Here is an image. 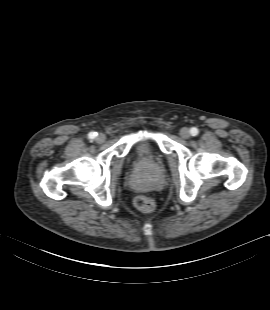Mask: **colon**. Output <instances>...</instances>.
I'll list each match as a JSON object with an SVG mask.
<instances>
[{"label": "colon", "instance_id": "5ec220e1", "mask_svg": "<svg viewBox=\"0 0 270 310\" xmlns=\"http://www.w3.org/2000/svg\"><path fill=\"white\" fill-rule=\"evenodd\" d=\"M136 208L143 213H152L156 208L154 198L148 195H140L135 198Z\"/></svg>", "mask_w": 270, "mask_h": 310}]
</instances>
